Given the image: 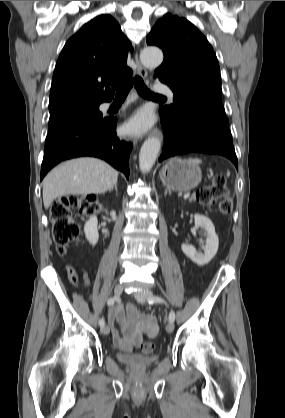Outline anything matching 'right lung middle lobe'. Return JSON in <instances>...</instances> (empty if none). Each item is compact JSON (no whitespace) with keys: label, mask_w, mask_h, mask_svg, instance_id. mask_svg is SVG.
I'll use <instances>...</instances> for the list:
<instances>
[{"label":"right lung middle lobe","mask_w":285,"mask_h":418,"mask_svg":"<svg viewBox=\"0 0 285 418\" xmlns=\"http://www.w3.org/2000/svg\"><path fill=\"white\" fill-rule=\"evenodd\" d=\"M49 111V133L73 123L103 119L97 103L70 102L49 107Z\"/></svg>","instance_id":"right-lung-middle-lobe-1"}]
</instances>
